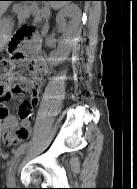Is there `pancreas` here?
Returning <instances> with one entry per match:
<instances>
[{
  "label": "pancreas",
  "instance_id": "1",
  "mask_svg": "<svg viewBox=\"0 0 137 189\" xmlns=\"http://www.w3.org/2000/svg\"><path fill=\"white\" fill-rule=\"evenodd\" d=\"M23 10H21L22 9V6H20V5H17V6H15V10H17V11H20L19 13H18V20H19V22H22L24 19H26L27 17H28V14H29V12H30V8H28V7H25V6H23ZM48 13H42V17L43 16H46ZM40 16L39 15H36V20H40Z\"/></svg>",
  "mask_w": 137,
  "mask_h": 189
}]
</instances>
